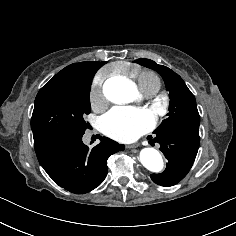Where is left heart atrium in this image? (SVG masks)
<instances>
[{"label": "left heart atrium", "mask_w": 236, "mask_h": 236, "mask_svg": "<svg viewBox=\"0 0 236 236\" xmlns=\"http://www.w3.org/2000/svg\"><path fill=\"white\" fill-rule=\"evenodd\" d=\"M154 121V114L148 109L115 107L103 117L101 126L111 138L128 142L149 130Z\"/></svg>", "instance_id": "39dd6f15"}]
</instances>
